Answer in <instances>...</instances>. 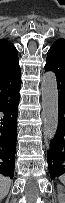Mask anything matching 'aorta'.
<instances>
[{
  "label": "aorta",
  "mask_w": 65,
  "mask_h": 203,
  "mask_svg": "<svg viewBox=\"0 0 65 203\" xmlns=\"http://www.w3.org/2000/svg\"><path fill=\"white\" fill-rule=\"evenodd\" d=\"M42 116L44 134L47 143H50L58 127V89L57 78L53 71L44 73L41 82Z\"/></svg>",
  "instance_id": "1"
}]
</instances>
